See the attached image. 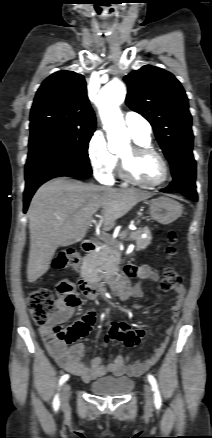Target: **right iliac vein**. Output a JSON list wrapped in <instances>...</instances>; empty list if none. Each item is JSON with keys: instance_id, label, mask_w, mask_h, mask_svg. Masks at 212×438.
I'll return each mask as SVG.
<instances>
[{"instance_id": "right-iliac-vein-1", "label": "right iliac vein", "mask_w": 212, "mask_h": 438, "mask_svg": "<svg viewBox=\"0 0 212 438\" xmlns=\"http://www.w3.org/2000/svg\"><path fill=\"white\" fill-rule=\"evenodd\" d=\"M70 385L68 383H65L62 386L61 396H60V402L62 408H66L69 403V396H70Z\"/></svg>"}]
</instances>
